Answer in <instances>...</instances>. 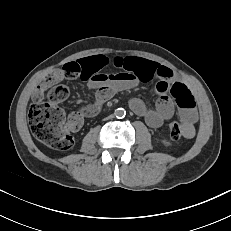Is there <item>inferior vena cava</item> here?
Returning <instances> with one entry per match:
<instances>
[{
  "label": "inferior vena cava",
  "mask_w": 231,
  "mask_h": 231,
  "mask_svg": "<svg viewBox=\"0 0 231 231\" xmlns=\"http://www.w3.org/2000/svg\"><path fill=\"white\" fill-rule=\"evenodd\" d=\"M113 116L111 115V116H109V117H107L106 119H109V118H112Z\"/></svg>",
  "instance_id": "602c4592"
}]
</instances>
